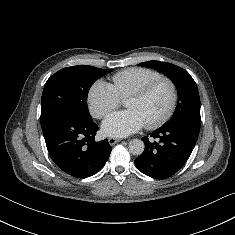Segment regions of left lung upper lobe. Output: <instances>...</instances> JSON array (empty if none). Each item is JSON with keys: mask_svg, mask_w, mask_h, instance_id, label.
I'll use <instances>...</instances> for the list:
<instances>
[{"mask_svg": "<svg viewBox=\"0 0 235 235\" xmlns=\"http://www.w3.org/2000/svg\"><path fill=\"white\" fill-rule=\"evenodd\" d=\"M141 66L152 68L171 79L178 91V102L171 119L162 127L171 126L183 121H196L201 123L200 98L195 81L190 74L171 63L160 61H147Z\"/></svg>", "mask_w": 235, "mask_h": 235, "instance_id": "1", "label": "left lung upper lobe"}]
</instances>
